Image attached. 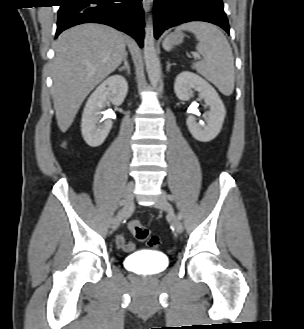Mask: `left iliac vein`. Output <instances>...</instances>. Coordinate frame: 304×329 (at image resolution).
Returning <instances> with one entry per match:
<instances>
[{
  "mask_svg": "<svg viewBox=\"0 0 304 329\" xmlns=\"http://www.w3.org/2000/svg\"><path fill=\"white\" fill-rule=\"evenodd\" d=\"M154 206L158 209L164 210V211H170V206L167 201L166 193L162 192L158 200L155 202ZM172 224L174 226V229L177 233H182L183 232V225L180 219L172 214Z\"/></svg>",
  "mask_w": 304,
  "mask_h": 329,
  "instance_id": "1",
  "label": "left iliac vein"
}]
</instances>
